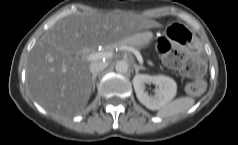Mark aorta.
<instances>
[{
	"label": "aorta",
	"instance_id": "aorta-1",
	"mask_svg": "<svg viewBox=\"0 0 238 145\" xmlns=\"http://www.w3.org/2000/svg\"><path fill=\"white\" fill-rule=\"evenodd\" d=\"M115 69L118 73H126L128 71V63L124 60L118 61Z\"/></svg>",
	"mask_w": 238,
	"mask_h": 145
}]
</instances>
